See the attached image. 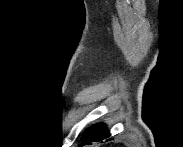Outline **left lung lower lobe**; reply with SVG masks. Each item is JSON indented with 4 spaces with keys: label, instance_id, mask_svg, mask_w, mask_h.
Listing matches in <instances>:
<instances>
[{
    "label": "left lung lower lobe",
    "instance_id": "left-lung-lower-lobe-1",
    "mask_svg": "<svg viewBox=\"0 0 183 147\" xmlns=\"http://www.w3.org/2000/svg\"><path fill=\"white\" fill-rule=\"evenodd\" d=\"M110 134L107 132L105 125L100 123L93 125L92 127H89L85 132L83 133L81 137V146L91 143V142H98L106 137H108Z\"/></svg>",
    "mask_w": 183,
    "mask_h": 147
}]
</instances>
